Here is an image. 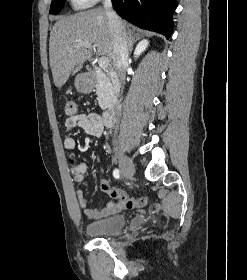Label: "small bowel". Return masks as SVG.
<instances>
[{"instance_id":"c3829d8e","label":"small bowel","mask_w":247,"mask_h":280,"mask_svg":"<svg viewBox=\"0 0 247 280\" xmlns=\"http://www.w3.org/2000/svg\"><path fill=\"white\" fill-rule=\"evenodd\" d=\"M103 117L97 112H89L76 114L66 119L65 128L71 130L75 127L82 128L88 135L100 137L104 133ZM64 146L66 149H74L76 147V140L73 136L67 135L64 138ZM74 179L77 182H83L87 179L88 166L85 163L72 165ZM101 190L107 193L111 201L103 208H89V202L82 190L76 192L77 200L81 209H83L85 216L88 219L97 220L108 217L110 215L119 213L125 209H132L142 207L146 204V198H132L125 191L111 187L107 180H101ZM136 200V205H131V201Z\"/></svg>"}]
</instances>
